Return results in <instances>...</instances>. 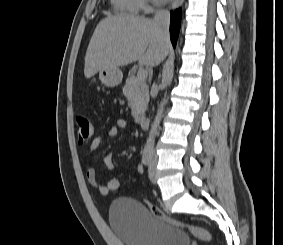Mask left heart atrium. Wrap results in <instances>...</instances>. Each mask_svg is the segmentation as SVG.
Returning <instances> with one entry per match:
<instances>
[{
  "label": "left heart atrium",
  "mask_w": 283,
  "mask_h": 245,
  "mask_svg": "<svg viewBox=\"0 0 283 245\" xmlns=\"http://www.w3.org/2000/svg\"><path fill=\"white\" fill-rule=\"evenodd\" d=\"M160 1H163V2H165V1H168V0H160Z\"/></svg>",
  "instance_id": "left-heart-atrium-1"
}]
</instances>
